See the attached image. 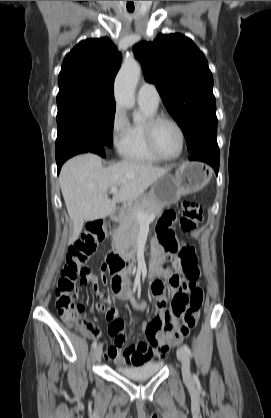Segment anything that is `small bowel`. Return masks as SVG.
I'll use <instances>...</instances> for the list:
<instances>
[{
  "label": "small bowel",
  "instance_id": "1",
  "mask_svg": "<svg viewBox=\"0 0 271 418\" xmlns=\"http://www.w3.org/2000/svg\"><path fill=\"white\" fill-rule=\"evenodd\" d=\"M153 246L154 258L150 262L148 278L151 279L150 291L154 299L157 315L152 321L142 324V332L145 334L147 342H139L124 348L126 336L123 330V326L125 325L123 315L117 314L116 306H111L106 310L108 322L111 323L109 325V332L111 338L114 339V345L105 353V359L119 365L138 366L147 362H159L166 356L168 352L167 341L169 340V334L163 332L164 321L168 315L175 321L180 316V313L172 305L168 308L164 295L166 285L171 286L174 296L186 291L192 285H197V282L190 283L187 280L183 281L177 275H174L170 263H172L175 269L179 270L178 259L173 254H167L165 257L157 256L162 246L158 241H155ZM161 279L166 280V285ZM102 281L104 285L107 284L105 278H102ZM87 282L92 284V289L97 297L102 298V293L98 286V277L96 275H90L84 283ZM112 289L118 299L130 302L132 307L138 311L145 310L146 303L134 297L127 281L115 277L112 282ZM98 307L100 309L103 308L102 305Z\"/></svg>",
  "mask_w": 271,
  "mask_h": 418
}]
</instances>
